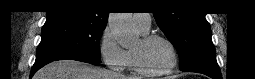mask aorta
I'll return each mask as SVG.
<instances>
[{
	"label": "aorta",
	"mask_w": 255,
	"mask_h": 79,
	"mask_svg": "<svg viewBox=\"0 0 255 79\" xmlns=\"http://www.w3.org/2000/svg\"><path fill=\"white\" fill-rule=\"evenodd\" d=\"M131 18V13H110L108 19V25L116 41L124 48L129 47L137 38Z\"/></svg>",
	"instance_id": "obj_1"
}]
</instances>
